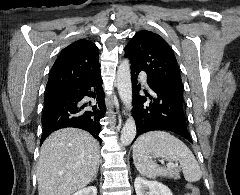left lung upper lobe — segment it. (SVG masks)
<instances>
[{
	"label": "left lung upper lobe",
	"instance_id": "5c2ea615",
	"mask_svg": "<svg viewBox=\"0 0 240 195\" xmlns=\"http://www.w3.org/2000/svg\"><path fill=\"white\" fill-rule=\"evenodd\" d=\"M131 67L145 71L147 81L160 85L168 93L183 98V85L177 60L167 42L150 31L137 32L124 48Z\"/></svg>",
	"mask_w": 240,
	"mask_h": 195
}]
</instances>
